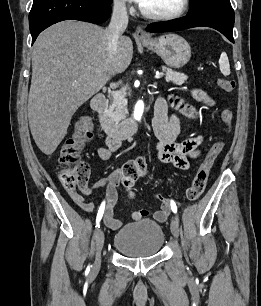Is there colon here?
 Instances as JSON below:
<instances>
[{
  "label": "colon",
  "instance_id": "colon-1",
  "mask_svg": "<svg viewBox=\"0 0 261 306\" xmlns=\"http://www.w3.org/2000/svg\"><path fill=\"white\" fill-rule=\"evenodd\" d=\"M219 87L230 92L235 88V81L232 79H219ZM221 120L226 125L227 130L231 128L233 114L230 109H224L221 112ZM93 136L91 122L86 118L77 121L74 134L67 138L63 143L59 163V180L67 189L79 187L81 190L86 188L89 178V167L80 160L82 151L88 141ZM225 143L222 141L214 143L200 164L197 173L186 190V198L189 201H196L204 192L210 169L215 158L223 151ZM147 173V163L143 158H137L126 162L119 171V181L131 193V190L138 179L144 177Z\"/></svg>",
  "mask_w": 261,
  "mask_h": 306
}]
</instances>
